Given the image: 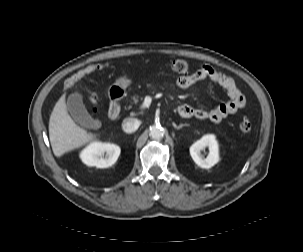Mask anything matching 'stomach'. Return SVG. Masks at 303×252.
<instances>
[{
    "label": "stomach",
    "instance_id": "stomach-1",
    "mask_svg": "<svg viewBox=\"0 0 303 252\" xmlns=\"http://www.w3.org/2000/svg\"><path fill=\"white\" fill-rule=\"evenodd\" d=\"M131 81L125 77L119 78L115 85L120 88H126L128 85H130Z\"/></svg>",
    "mask_w": 303,
    "mask_h": 252
}]
</instances>
